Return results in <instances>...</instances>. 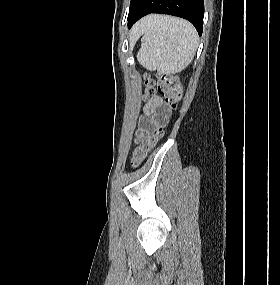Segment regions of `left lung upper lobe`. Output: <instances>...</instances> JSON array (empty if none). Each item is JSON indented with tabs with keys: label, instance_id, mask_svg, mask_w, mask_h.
I'll list each match as a JSON object with an SVG mask.
<instances>
[{
	"label": "left lung upper lobe",
	"instance_id": "5c2ea615",
	"mask_svg": "<svg viewBox=\"0 0 280 285\" xmlns=\"http://www.w3.org/2000/svg\"><path fill=\"white\" fill-rule=\"evenodd\" d=\"M135 2H136V0H131L129 13H130V11L132 10V8L134 7Z\"/></svg>",
	"mask_w": 280,
	"mask_h": 285
}]
</instances>
